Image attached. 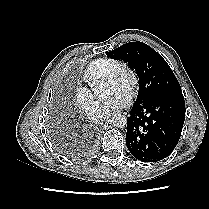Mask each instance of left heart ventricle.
Masks as SVG:
<instances>
[{"mask_svg":"<svg viewBox=\"0 0 209 209\" xmlns=\"http://www.w3.org/2000/svg\"><path fill=\"white\" fill-rule=\"evenodd\" d=\"M127 82V78H124L123 81L121 83H107V91L108 94L111 95L112 93L116 92V91H122L126 93L125 90V85Z\"/></svg>","mask_w":209,"mask_h":209,"instance_id":"left-heart-ventricle-1","label":"left heart ventricle"}]
</instances>
